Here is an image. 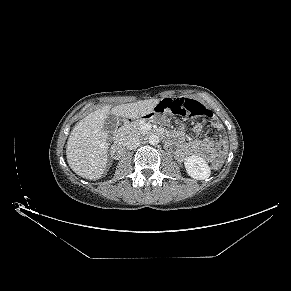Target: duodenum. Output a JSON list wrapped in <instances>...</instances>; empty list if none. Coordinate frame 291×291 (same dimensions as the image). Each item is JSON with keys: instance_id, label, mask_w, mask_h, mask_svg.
Wrapping results in <instances>:
<instances>
[{"instance_id": "1", "label": "duodenum", "mask_w": 291, "mask_h": 291, "mask_svg": "<svg viewBox=\"0 0 291 291\" xmlns=\"http://www.w3.org/2000/svg\"><path fill=\"white\" fill-rule=\"evenodd\" d=\"M150 134L156 135V136L163 135V133L161 131H152ZM124 148H125V143H124L123 139H121V138L116 139L112 145L113 157L118 159L122 155Z\"/></svg>"}]
</instances>
